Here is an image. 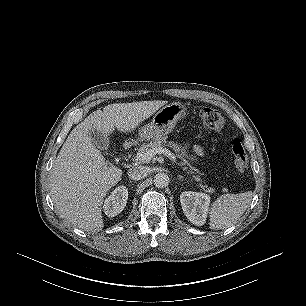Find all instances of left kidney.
Returning a JSON list of instances; mask_svg holds the SVG:
<instances>
[{"mask_svg": "<svg viewBox=\"0 0 306 306\" xmlns=\"http://www.w3.org/2000/svg\"><path fill=\"white\" fill-rule=\"evenodd\" d=\"M210 196L199 192H182L180 202L185 216L196 226H202L206 222L210 206Z\"/></svg>", "mask_w": 306, "mask_h": 306, "instance_id": "5707ae66", "label": "left kidney"}]
</instances>
